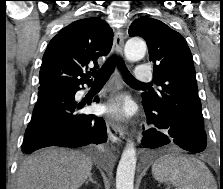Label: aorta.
Returning <instances> with one entry per match:
<instances>
[{
  "label": "aorta",
  "instance_id": "1",
  "mask_svg": "<svg viewBox=\"0 0 223 189\" xmlns=\"http://www.w3.org/2000/svg\"><path fill=\"white\" fill-rule=\"evenodd\" d=\"M147 50L146 43L141 38L129 39L124 48L128 61L134 62L142 59ZM136 149L129 141L119 161L116 173V189H134V175L136 168Z\"/></svg>",
  "mask_w": 223,
  "mask_h": 189
}]
</instances>
